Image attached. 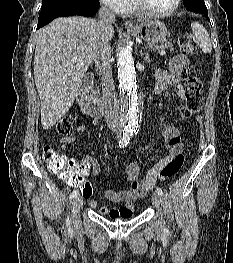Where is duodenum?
I'll list each match as a JSON object with an SVG mask.
<instances>
[{
  "label": "duodenum",
  "mask_w": 233,
  "mask_h": 263,
  "mask_svg": "<svg viewBox=\"0 0 233 263\" xmlns=\"http://www.w3.org/2000/svg\"><path fill=\"white\" fill-rule=\"evenodd\" d=\"M92 83V74H86L78 89L77 102L84 114L92 118H100L104 114L103 103H106V98L101 96L100 89H92Z\"/></svg>",
  "instance_id": "obj_1"
}]
</instances>
